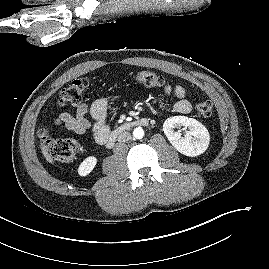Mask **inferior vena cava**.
<instances>
[{
    "label": "inferior vena cava",
    "instance_id": "inferior-vena-cava-1",
    "mask_svg": "<svg viewBox=\"0 0 269 269\" xmlns=\"http://www.w3.org/2000/svg\"><path fill=\"white\" fill-rule=\"evenodd\" d=\"M129 139H131V134L127 131L122 132L119 136H118V141L120 143L123 142H127Z\"/></svg>",
    "mask_w": 269,
    "mask_h": 269
}]
</instances>
